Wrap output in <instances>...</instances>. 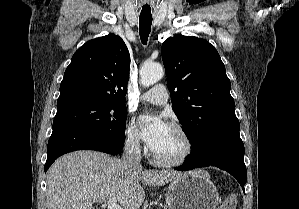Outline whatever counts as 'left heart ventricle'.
I'll return each mask as SVG.
<instances>
[{
  "label": "left heart ventricle",
  "instance_id": "1",
  "mask_svg": "<svg viewBox=\"0 0 299 209\" xmlns=\"http://www.w3.org/2000/svg\"><path fill=\"white\" fill-rule=\"evenodd\" d=\"M184 147V141L181 136L172 128H169L165 136L152 151L161 158L171 159L179 156Z\"/></svg>",
  "mask_w": 299,
  "mask_h": 209
}]
</instances>
